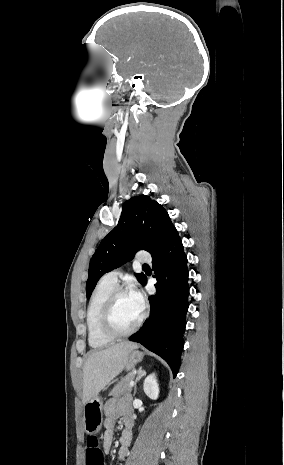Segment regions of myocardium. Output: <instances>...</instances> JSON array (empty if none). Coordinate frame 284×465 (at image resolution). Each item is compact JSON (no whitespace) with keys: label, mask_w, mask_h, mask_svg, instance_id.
I'll use <instances>...</instances> for the list:
<instances>
[{"label":"myocardium","mask_w":284,"mask_h":465,"mask_svg":"<svg viewBox=\"0 0 284 465\" xmlns=\"http://www.w3.org/2000/svg\"><path fill=\"white\" fill-rule=\"evenodd\" d=\"M130 293L124 289H115L106 301L104 306L101 320H100V331L101 333L112 341H122L133 336L138 329L141 327L143 321L146 318L145 310H142V314L136 325L125 334H118L113 326L115 308L118 299L123 295H129Z\"/></svg>","instance_id":"myocardium-1"}]
</instances>
